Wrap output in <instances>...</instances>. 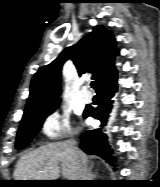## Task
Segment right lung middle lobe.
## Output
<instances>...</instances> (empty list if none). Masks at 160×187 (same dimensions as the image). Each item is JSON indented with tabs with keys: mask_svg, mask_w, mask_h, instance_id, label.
<instances>
[{
	"mask_svg": "<svg viewBox=\"0 0 160 187\" xmlns=\"http://www.w3.org/2000/svg\"><path fill=\"white\" fill-rule=\"evenodd\" d=\"M57 106L58 104L44 110L24 114L16 139L17 149H23L31 142L41 129L45 118L53 113Z\"/></svg>",
	"mask_w": 160,
	"mask_h": 187,
	"instance_id": "1",
	"label": "right lung middle lobe"
}]
</instances>
